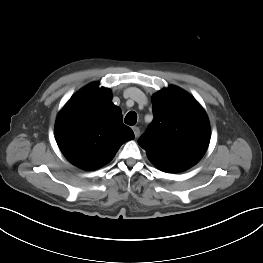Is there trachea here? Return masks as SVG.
<instances>
[{
  "instance_id": "1",
  "label": "trachea",
  "mask_w": 263,
  "mask_h": 263,
  "mask_svg": "<svg viewBox=\"0 0 263 263\" xmlns=\"http://www.w3.org/2000/svg\"><path fill=\"white\" fill-rule=\"evenodd\" d=\"M124 122L127 124V125H130V126H133L136 124L137 122V114L134 112V111H130L125 119H124Z\"/></svg>"
}]
</instances>
